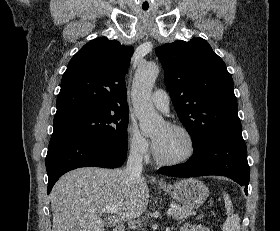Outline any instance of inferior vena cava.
<instances>
[{
  "label": "inferior vena cava",
  "mask_w": 280,
  "mask_h": 231,
  "mask_svg": "<svg viewBox=\"0 0 280 231\" xmlns=\"http://www.w3.org/2000/svg\"><path fill=\"white\" fill-rule=\"evenodd\" d=\"M143 149L140 143H132L127 159L125 171L132 177H139L142 171Z\"/></svg>",
  "instance_id": "1"
}]
</instances>
